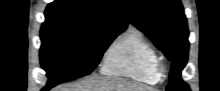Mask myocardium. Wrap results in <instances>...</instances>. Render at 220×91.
Returning a JSON list of instances; mask_svg holds the SVG:
<instances>
[{
	"instance_id": "obj_1",
	"label": "myocardium",
	"mask_w": 220,
	"mask_h": 91,
	"mask_svg": "<svg viewBox=\"0 0 220 91\" xmlns=\"http://www.w3.org/2000/svg\"><path fill=\"white\" fill-rule=\"evenodd\" d=\"M159 70L163 73L166 72V66L163 63H159Z\"/></svg>"
}]
</instances>
